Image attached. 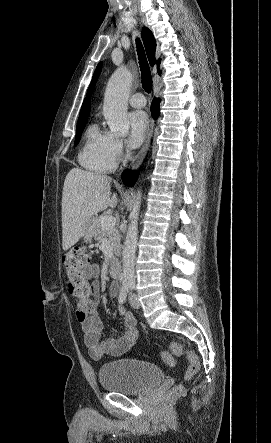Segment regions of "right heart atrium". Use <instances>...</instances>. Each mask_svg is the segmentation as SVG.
Wrapping results in <instances>:
<instances>
[{"label": "right heart atrium", "mask_w": 271, "mask_h": 443, "mask_svg": "<svg viewBox=\"0 0 271 443\" xmlns=\"http://www.w3.org/2000/svg\"><path fill=\"white\" fill-rule=\"evenodd\" d=\"M126 151V142L124 139L112 136L110 141V153L113 158H120Z\"/></svg>", "instance_id": "d8ad5b80"}]
</instances>
